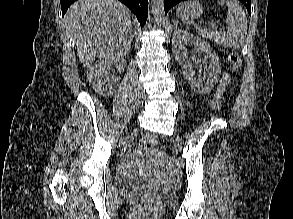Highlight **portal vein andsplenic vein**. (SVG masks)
Segmentation results:
<instances>
[{"instance_id": "obj_1", "label": "portal vein and splenic vein", "mask_w": 293, "mask_h": 219, "mask_svg": "<svg viewBox=\"0 0 293 219\" xmlns=\"http://www.w3.org/2000/svg\"><path fill=\"white\" fill-rule=\"evenodd\" d=\"M211 26H212L213 29H215V28L217 27V24L213 22V23L211 24Z\"/></svg>"}]
</instances>
